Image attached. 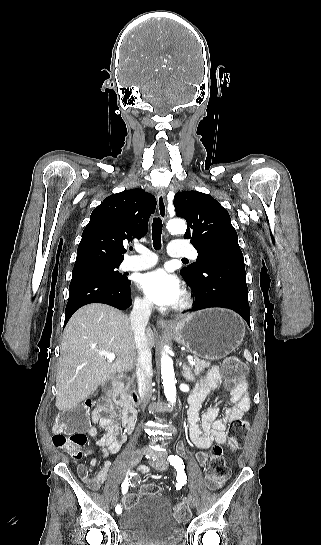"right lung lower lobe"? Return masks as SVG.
<instances>
[{
    "mask_svg": "<svg viewBox=\"0 0 321 545\" xmlns=\"http://www.w3.org/2000/svg\"><path fill=\"white\" fill-rule=\"evenodd\" d=\"M131 281H117L95 273L72 275L69 299L65 310V324L80 307L89 303H104L124 310L131 306Z\"/></svg>",
    "mask_w": 321,
    "mask_h": 545,
    "instance_id": "98d812e1",
    "label": "right lung lower lobe"
}]
</instances>
